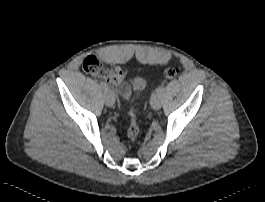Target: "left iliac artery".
Returning a JSON list of instances; mask_svg holds the SVG:
<instances>
[{"instance_id":"44dca946","label":"left iliac artery","mask_w":265,"mask_h":202,"mask_svg":"<svg viewBox=\"0 0 265 202\" xmlns=\"http://www.w3.org/2000/svg\"><path fill=\"white\" fill-rule=\"evenodd\" d=\"M164 90H165V86L164 85H161L155 92L152 93L151 100L154 97V95L162 96L163 93H164Z\"/></svg>"}]
</instances>
